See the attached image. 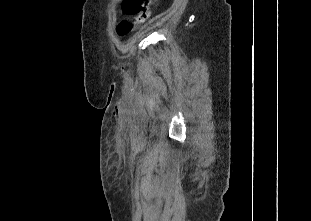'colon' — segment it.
<instances>
[{
	"label": "colon",
	"mask_w": 311,
	"mask_h": 221,
	"mask_svg": "<svg viewBox=\"0 0 311 221\" xmlns=\"http://www.w3.org/2000/svg\"><path fill=\"white\" fill-rule=\"evenodd\" d=\"M150 0H123V17L134 16L133 22L123 20L118 27L119 35H126L133 25H141L148 21L150 10L148 8Z\"/></svg>",
	"instance_id": "5ec220e1"
}]
</instances>
